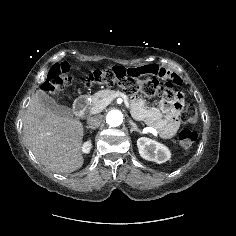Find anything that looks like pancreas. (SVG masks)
<instances>
[{
    "instance_id": "1",
    "label": "pancreas",
    "mask_w": 236,
    "mask_h": 236,
    "mask_svg": "<svg viewBox=\"0 0 236 236\" xmlns=\"http://www.w3.org/2000/svg\"><path fill=\"white\" fill-rule=\"evenodd\" d=\"M121 92L119 91H115V90H109V89H106V90H101V91H98L97 93H95L93 96H92V99H91V106L92 107H95L97 105H100L102 104L103 100L105 98H108V97H119V94ZM123 94V93H122ZM125 97L124 99L128 101V103L130 102L128 96H126L125 94H123Z\"/></svg>"
}]
</instances>
